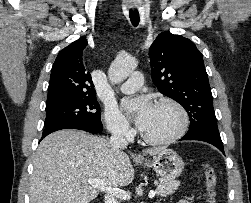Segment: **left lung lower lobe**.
Returning <instances> with one entry per match:
<instances>
[{"label":"left lung lower lobe","instance_id":"1","mask_svg":"<svg viewBox=\"0 0 251 203\" xmlns=\"http://www.w3.org/2000/svg\"><path fill=\"white\" fill-rule=\"evenodd\" d=\"M180 140H198L208 142L213 146L217 147L224 154L223 143L219 133H213L208 131L187 133Z\"/></svg>","mask_w":251,"mask_h":203}]
</instances>
